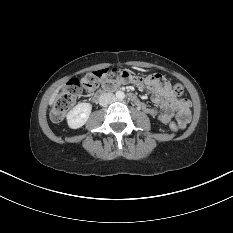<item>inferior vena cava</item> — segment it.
Instances as JSON below:
<instances>
[{"label":"inferior vena cava","mask_w":233,"mask_h":233,"mask_svg":"<svg viewBox=\"0 0 233 233\" xmlns=\"http://www.w3.org/2000/svg\"><path fill=\"white\" fill-rule=\"evenodd\" d=\"M115 95L113 93H104L99 97L100 106H107L115 100Z\"/></svg>","instance_id":"obj_1"}]
</instances>
